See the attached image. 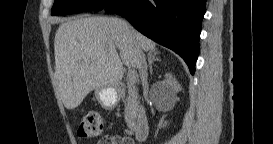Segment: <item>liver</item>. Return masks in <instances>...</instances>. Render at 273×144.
Instances as JSON below:
<instances>
[{"label":"liver","instance_id":"1","mask_svg":"<svg viewBox=\"0 0 273 144\" xmlns=\"http://www.w3.org/2000/svg\"><path fill=\"white\" fill-rule=\"evenodd\" d=\"M155 46L154 41L117 17L61 23L54 41L55 78L64 106L75 109L94 89L117 88L123 65L138 68L137 49L152 51Z\"/></svg>","mask_w":273,"mask_h":144}]
</instances>
